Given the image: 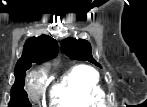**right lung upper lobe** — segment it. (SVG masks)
I'll use <instances>...</instances> for the list:
<instances>
[{
	"label": "right lung upper lobe",
	"mask_w": 147,
	"mask_h": 107,
	"mask_svg": "<svg viewBox=\"0 0 147 107\" xmlns=\"http://www.w3.org/2000/svg\"><path fill=\"white\" fill-rule=\"evenodd\" d=\"M58 52L57 41L47 35L29 38L24 45V52L15 67V75L32 63L41 64L53 59Z\"/></svg>",
	"instance_id": "cb5924a9"
}]
</instances>
